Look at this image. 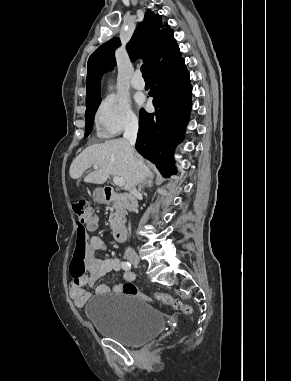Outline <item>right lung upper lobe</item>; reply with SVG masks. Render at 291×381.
<instances>
[{
  "mask_svg": "<svg viewBox=\"0 0 291 381\" xmlns=\"http://www.w3.org/2000/svg\"><path fill=\"white\" fill-rule=\"evenodd\" d=\"M173 30L164 23L159 14L148 10L144 21L139 24L127 50L131 61L142 59L149 72L174 55L178 45ZM120 40L113 38L102 44L91 54L88 60L86 104L100 98V80L104 72L115 64L114 50L120 46Z\"/></svg>",
  "mask_w": 291,
  "mask_h": 381,
  "instance_id": "obj_1",
  "label": "right lung upper lobe"
}]
</instances>
